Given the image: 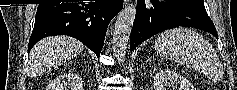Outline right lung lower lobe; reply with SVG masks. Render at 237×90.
Masks as SVG:
<instances>
[{
  "instance_id": "98d812e1",
  "label": "right lung lower lobe",
  "mask_w": 237,
  "mask_h": 90,
  "mask_svg": "<svg viewBox=\"0 0 237 90\" xmlns=\"http://www.w3.org/2000/svg\"><path fill=\"white\" fill-rule=\"evenodd\" d=\"M123 0L40 4L28 44V52L42 38L74 37L100 56L107 26L122 9Z\"/></svg>"
}]
</instances>
